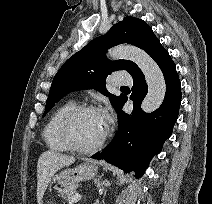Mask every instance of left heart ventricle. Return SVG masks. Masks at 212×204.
Returning a JSON list of instances; mask_svg holds the SVG:
<instances>
[{
    "mask_svg": "<svg viewBox=\"0 0 212 204\" xmlns=\"http://www.w3.org/2000/svg\"><path fill=\"white\" fill-rule=\"evenodd\" d=\"M106 121L100 112H85L76 116L71 124L73 137L81 146L97 142L106 130Z\"/></svg>",
    "mask_w": 212,
    "mask_h": 204,
    "instance_id": "obj_1",
    "label": "left heart ventricle"
}]
</instances>
